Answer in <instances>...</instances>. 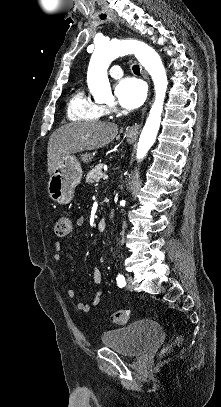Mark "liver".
I'll return each instance as SVG.
<instances>
[{
    "label": "liver",
    "mask_w": 221,
    "mask_h": 407,
    "mask_svg": "<svg viewBox=\"0 0 221 407\" xmlns=\"http://www.w3.org/2000/svg\"><path fill=\"white\" fill-rule=\"evenodd\" d=\"M118 126L110 122L83 121L56 129L48 141V173L51 176L64 157L87 150L100 149L114 140Z\"/></svg>",
    "instance_id": "1"
}]
</instances>
